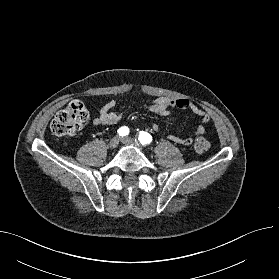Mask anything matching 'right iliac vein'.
<instances>
[{"label":"right iliac vein","instance_id":"right-iliac-vein-1","mask_svg":"<svg viewBox=\"0 0 279 279\" xmlns=\"http://www.w3.org/2000/svg\"><path fill=\"white\" fill-rule=\"evenodd\" d=\"M119 142H120V137L116 136L110 140L108 146L110 149H115L119 145Z\"/></svg>","mask_w":279,"mask_h":279}]
</instances>
